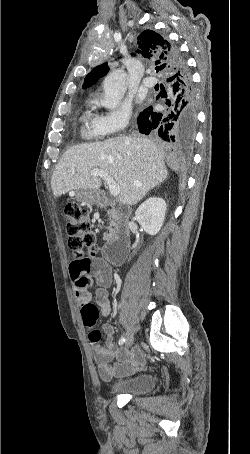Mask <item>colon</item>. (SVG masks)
I'll use <instances>...</instances> for the list:
<instances>
[{
    "label": "colon",
    "instance_id": "obj_1",
    "mask_svg": "<svg viewBox=\"0 0 250 454\" xmlns=\"http://www.w3.org/2000/svg\"><path fill=\"white\" fill-rule=\"evenodd\" d=\"M68 220L67 233L68 245L74 251L76 259H86L97 252L96 238L89 220L88 211L76 203H69L65 207ZM83 323L90 330L89 340L96 343L101 338V333L93 329L99 318V309L93 303L81 308Z\"/></svg>",
    "mask_w": 250,
    "mask_h": 454
}]
</instances>
